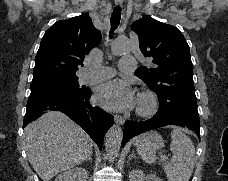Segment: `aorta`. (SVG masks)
Instances as JSON below:
<instances>
[{
    "instance_id": "1",
    "label": "aorta",
    "mask_w": 228,
    "mask_h": 181,
    "mask_svg": "<svg viewBox=\"0 0 228 181\" xmlns=\"http://www.w3.org/2000/svg\"><path fill=\"white\" fill-rule=\"evenodd\" d=\"M130 50V41L125 37H120L115 40L112 46L114 55H122ZM123 131L120 126L114 125L106 134L105 147L109 158H114L118 155L121 148Z\"/></svg>"
}]
</instances>
